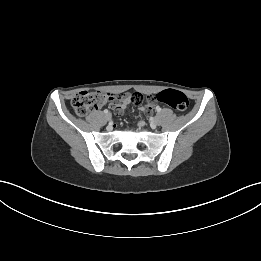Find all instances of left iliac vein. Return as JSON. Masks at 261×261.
Returning a JSON list of instances; mask_svg holds the SVG:
<instances>
[{"label":"left iliac vein","mask_w":261,"mask_h":261,"mask_svg":"<svg viewBox=\"0 0 261 261\" xmlns=\"http://www.w3.org/2000/svg\"><path fill=\"white\" fill-rule=\"evenodd\" d=\"M159 123H160V120H159L158 117H154V118L151 120V125H152V126H157V125H159Z\"/></svg>","instance_id":"left-iliac-vein-1"}]
</instances>
